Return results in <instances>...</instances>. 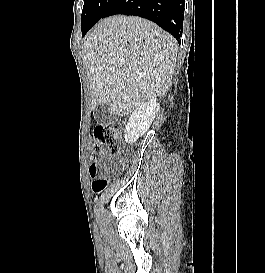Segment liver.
Returning <instances> with one entry per match:
<instances>
[{
    "instance_id": "6515ba94",
    "label": "liver",
    "mask_w": 265,
    "mask_h": 273,
    "mask_svg": "<svg viewBox=\"0 0 265 273\" xmlns=\"http://www.w3.org/2000/svg\"><path fill=\"white\" fill-rule=\"evenodd\" d=\"M177 41L155 23L135 16L101 20L83 44L91 108L108 104L129 115L142 103L164 97L170 87Z\"/></svg>"
}]
</instances>
